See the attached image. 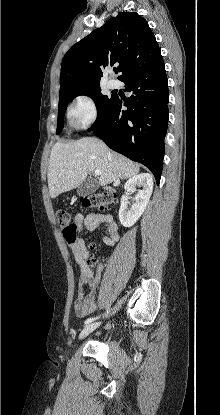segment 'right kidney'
<instances>
[{
    "label": "right kidney",
    "instance_id": "obj_1",
    "mask_svg": "<svg viewBox=\"0 0 220 415\" xmlns=\"http://www.w3.org/2000/svg\"><path fill=\"white\" fill-rule=\"evenodd\" d=\"M142 187L135 196V203L128 209V195ZM125 195L121 198L119 220L124 227L133 226L146 209L153 191V178L148 173H141L131 177L124 185Z\"/></svg>",
    "mask_w": 220,
    "mask_h": 415
}]
</instances>
